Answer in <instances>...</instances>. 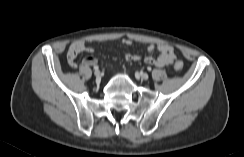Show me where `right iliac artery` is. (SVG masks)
Segmentation results:
<instances>
[{
	"mask_svg": "<svg viewBox=\"0 0 244 157\" xmlns=\"http://www.w3.org/2000/svg\"><path fill=\"white\" fill-rule=\"evenodd\" d=\"M95 71H98L99 70V67L98 66H94L93 68Z\"/></svg>",
	"mask_w": 244,
	"mask_h": 157,
	"instance_id": "1",
	"label": "right iliac artery"
}]
</instances>
